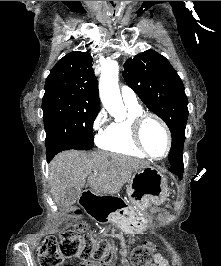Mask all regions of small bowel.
Segmentation results:
<instances>
[{"label":"small bowel","mask_w":221,"mask_h":266,"mask_svg":"<svg viewBox=\"0 0 221 266\" xmlns=\"http://www.w3.org/2000/svg\"><path fill=\"white\" fill-rule=\"evenodd\" d=\"M134 238L130 236L129 239L122 240V248L120 250V255L122 257V266H129L127 260L128 254V244L133 243ZM154 263L151 266H170L167 259H165L160 253H156L153 256ZM79 266H101V264L97 261H83Z\"/></svg>","instance_id":"1"}]
</instances>
